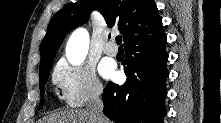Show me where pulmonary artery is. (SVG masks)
I'll return each mask as SVG.
<instances>
[{
    "mask_svg": "<svg viewBox=\"0 0 221 123\" xmlns=\"http://www.w3.org/2000/svg\"><path fill=\"white\" fill-rule=\"evenodd\" d=\"M103 51L109 56H116L118 53V48L113 42H108L105 44Z\"/></svg>",
    "mask_w": 221,
    "mask_h": 123,
    "instance_id": "obj_1",
    "label": "pulmonary artery"
}]
</instances>
